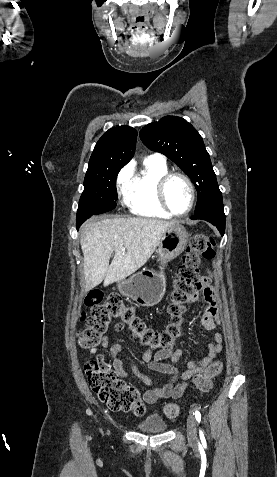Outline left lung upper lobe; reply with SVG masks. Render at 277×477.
<instances>
[{
  "label": "left lung upper lobe",
  "mask_w": 277,
  "mask_h": 477,
  "mask_svg": "<svg viewBox=\"0 0 277 477\" xmlns=\"http://www.w3.org/2000/svg\"><path fill=\"white\" fill-rule=\"evenodd\" d=\"M140 138L149 149L167 156L190 177L198 193L195 214L222 197L202 137L185 119L163 117L143 127Z\"/></svg>",
  "instance_id": "1"
}]
</instances>
